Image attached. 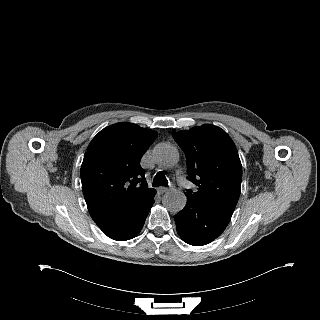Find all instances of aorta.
Listing matches in <instances>:
<instances>
[{"instance_id": "1", "label": "aorta", "mask_w": 320, "mask_h": 320, "mask_svg": "<svg viewBox=\"0 0 320 320\" xmlns=\"http://www.w3.org/2000/svg\"><path fill=\"white\" fill-rule=\"evenodd\" d=\"M153 159L160 167L171 168L177 164L179 154L173 145L160 143L153 150ZM186 200L183 192L178 190L169 191L163 196V205L170 212L177 213L185 207Z\"/></svg>"}]
</instances>
